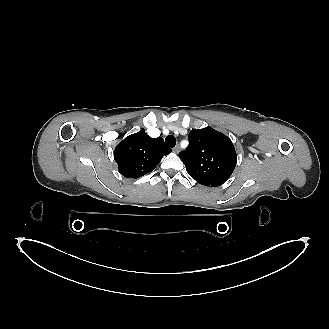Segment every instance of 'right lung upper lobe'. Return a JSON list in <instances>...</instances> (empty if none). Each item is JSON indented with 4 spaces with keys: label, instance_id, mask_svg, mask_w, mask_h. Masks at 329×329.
<instances>
[{
    "label": "right lung upper lobe",
    "instance_id": "right-lung-upper-lobe-1",
    "mask_svg": "<svg viewBox=\"0 0 329 329\" xmlns=\"http://www.w3.org/2000/svg\"><path fill=\"white\" fill-rule=\"evenodd\" d=\"M171 151L162 137L151 138L141 129L116 146L114 159L123 176L139 178L154 170L163 156Z\"/></svg>",
    "mask_w": 329,
    "mask_h": 329
}]
</instances>
